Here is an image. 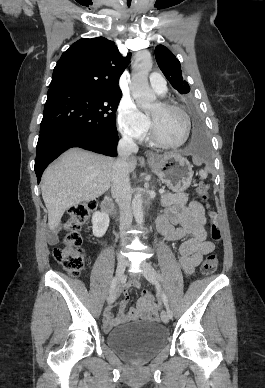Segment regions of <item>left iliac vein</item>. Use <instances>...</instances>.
I'll return each mask as SVG.
<instances>
[{
  "instance_id": "1",
  "label": "left iliac vein",
  "mask_w": 265,
  "mask_h": 388,
  "mask_svg": "<svg viewBox=\"0 0 265 388\" xmlns=\"http://www.w3.org/2000/svg\"><path fill=\"white\" fill-rule=\"evenodd\" d=\"M141 268H142V274L144 275V277L150 283L158 286L159 285V279H158L157 273H156L155 269L153 268V266L150 265L148 262H143ZM161 320L165 324L169 322V316H168L167 312L162 311V313H161Z\"/></svg>"
}]
</instances>
